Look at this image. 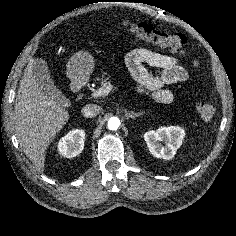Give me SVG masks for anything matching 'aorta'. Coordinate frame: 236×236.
<instances>
[{
  "mask_svg": "<svg viewBox=\"0 0 236 236\" xmlns=\"http://www.w3.org/2000/svg\"><path fill=\"white\" fill-rule=\"evenodd\" d=\"M120 120L117 117H111L108 120V128L110 130H117L120 126Z\"/></svg>",
  "mask_w": 236,
  "mask_h": 236,
  "instance_id": "aorta-1",
  "label": "aorta"
}]
</instances>
